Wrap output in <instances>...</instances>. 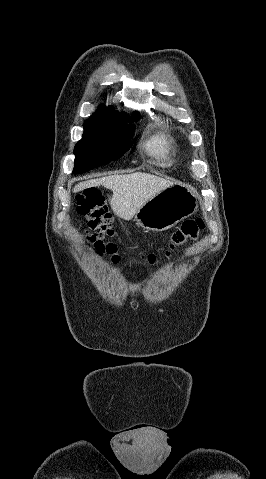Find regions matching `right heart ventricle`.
Wrapping results in <instances>:
<instances>
[{
	"label": "right heart ventricle",
	"mask_w": 266,
	"mask_h": 479,
	"mask_svg": "<svg viewBox=\"0 0 266 479\" xmlns=\"http://www.w3.org/2000/svg\"><path fill=\"white\" fill-rule=\"evenodd\" d=\"M148 152L162 165L169 163V152L172 149V141L163 132L152 136L145 144Z\"/></svg>",
	"instance_id": "1"
}]
</instances>
